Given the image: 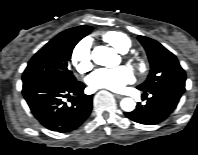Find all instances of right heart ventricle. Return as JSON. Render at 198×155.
<instances>
[{
  "instance_id": "1",
  "label": "right heart ventricle",
  "mask_w": 198,
  "mask_h": 155,
  "mask_svg": "<svg viewBox=\"0 0 198 155\" xmlns=\"http://www.w3.org/2000/svg\"><path fill=\"white\" fill-rule=\"evenodd\" d=\"M103 40L119 52H126L131 47L130 39L122 32L109 31L103 34Z\"/></svg>"
}]
</instances>
